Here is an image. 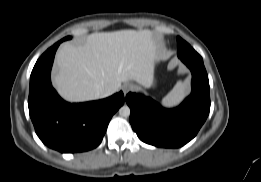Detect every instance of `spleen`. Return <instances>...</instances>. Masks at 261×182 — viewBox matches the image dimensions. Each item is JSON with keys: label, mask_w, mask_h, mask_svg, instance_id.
I'll list each match as a JSON object with an SVG mask.
<instances>
[{"label": "spleen", "mask_w": 261, "mask_h": 182, "mask_svg": "<svg viewBox=\"0 0 261 182\" xmlns=\"http://www.w3.org/2000/svg\"><path fill=\"white\" fill-rule=\"evenodd\" d=\"M188 93V86L186 82H177L174 88L163 99L162 103L165 106H174L178 104Z\"/></svg>", "instance_id": "3e777b00"}]
</instances>
